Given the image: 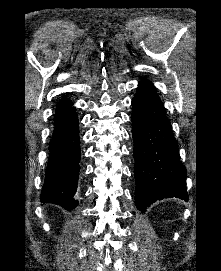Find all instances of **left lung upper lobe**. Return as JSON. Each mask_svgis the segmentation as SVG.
I'll return each instance as SVG.
<instances>
[{
  "mask_svg": "<svg viewBox=\"0 0 221 271\" xmlns=\"http://www.w3.org/2000/svg\"><path fill=\"white\" fill-rule=\"evenodd\" d=\"M141 82H145V83H148V84L152 85V83L150 81H147V80H142Z\"/></svg>",
  "mask_w": 221,
  "mask_h": 271,
  "instance_id": "5c2ea615",
  "label": "left lung upper lobe"
}]
</instances>
